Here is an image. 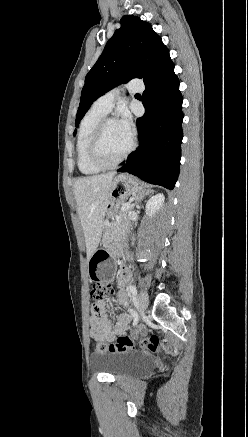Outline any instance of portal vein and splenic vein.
<instances>
[{
    "instance_id": "portal-vein-and-splenic-vein-1",
    "label": "portal vein and splenic vein",
    "mask_w": 248,
    "mask_h": 437,
    "mask_svg": "<svg viewBox=\"0 0 248 437\" xmlns=\"http://www.w3.org/2000/svg\"><path fill=\"white\" fill-rule=\"evenodd\" d=\"M130 207V203H126L121 207V210H125L126 208Z\"/></svg>"
}]
</instances>
